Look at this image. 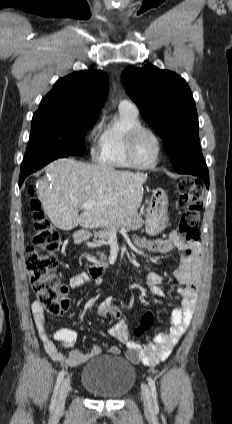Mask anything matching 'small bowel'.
Listing matches in <instances>:
<instances>
[{
	"mask_svg": "<svg viewBox=\"0 0 232 424\" xmlns=\"http://www.w3.org/2000/svg\"><path fill=\"white\" fill-rule=\"evenodd\" d=\"M134 243L140 249L160 254H169L175 249L184 248L179 235L176 233H172L168 238L156 239L135 236ZM190 247L195 253L182 255L179 267L174 273L175 278L183 287L177 290L182 301L180 306L171 313V328L165 333L155 335L148 346L143 347L130 338L128 324L122 318L121 310L114 305L112 297H107L100 303L97 314L102 317L111 316L116 319V323L110 328L109 333L127 347L126 358L130 362L142 363L148 367L156 366L159 362L168 358L189 327L197 304L202 255L198 244H192ZM164 280V275L154 271L147 273L145 277L149 292L158 297H166V293L161 288ZM101 283V278L87 272L79 271L74 273L68 285H62L61 294L64 302V312H67L70 308V302L66 298L70 289H77L89 284L100 285ZM32 311L39 337L44 344L46 352L54 360L70 366H76L101 353V348L98 345H93L88 353L73 349L77 341V333L68 328L56 329L51 337L46 331L44 310L34 303ZM56 342L61 343L66 348H70V352L67 355L62 354L58 350ZM107 352L111 355H116L119 353V348L112 345L107 349Z\"/></svg>",
	"mask_w": 232,
	"mask_h": 424,
	"instance_id": "c3829d8e",
	"label": "small bowel"
}]
</instances>
